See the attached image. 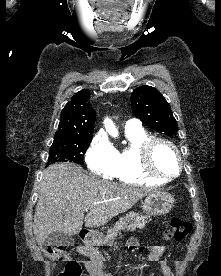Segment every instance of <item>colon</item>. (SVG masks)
<instances>
[{"label": "colon", "instance_id": "5ec220e1", "mask_svg": "<svg viewBox=\"0 0 221 276\" xmlns=\"http://www.w3.org/2000/svg\"><path fill=\"white\" fill-rule=\"evenodd\" d=\"M191 230L192 225L190 222L174 217L170 221V227L166 231L165 236L171 240L182 241ZM43 252L54 261L67 262L65 269L58 276H80L81 270L79 264L69 258V255L62 246L44 245Z\"/></svg>", "mask_w": 221, "mask_h": 276}]
</instances>
